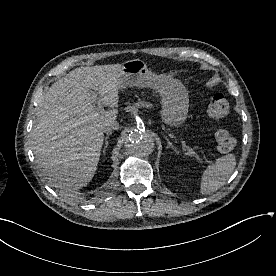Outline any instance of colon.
Here are the masks:
<instances>
[{
  "instance_id": "1",
  "label": "colon",
  "mask_w": 276,
  "mask_h": 276,
  "mask_svg": "<svg viewBox=\"0 0 276 276\" xmlns=\"http://www.w3.org/2000/svg\"><path fill=\"white\" fill-rule=\"evenodd\" d=\"M230 104L223 94H215L207 107V116L211 120H220L227 116ZM217 148L222 153L231 152L236 146L235 136L225 129H218L215 132Z\"/></svg>"
}]
</instances>
